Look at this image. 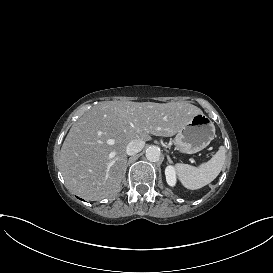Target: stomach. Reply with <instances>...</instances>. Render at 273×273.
Masks as SVG:
<instances>
[{"instance_id":"0dacf381","label":"stomach","mask_w":273,"mask_h":273,"mask_svg":"<svg viewBox=\"0 0 273 273\" xmlns=\"http://www.w3.org/2000/svg\"><path fill=\"white\" fill-rule=\"evenodd\" d=\"M214 137L213 122L204 114H197L177 132L174 144L181 153L192 154L206 148Z\"/></svg>"}]
</instances>
